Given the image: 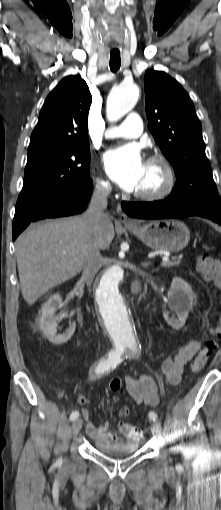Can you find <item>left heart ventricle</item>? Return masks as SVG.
I'll list each match as a JSON object with an SVG mask.
<instances>
[{
  "instance_id": "obj_1",
  "label": "left heart ventricle",
  "mask_w": 221,
  "mask_h": 510,
  "mask_svg": "<svg viewBox=\"0 0 221 510\" xmlns=\"http://www.w3.org/2000/svg\"><path fill=\"white\" fill-rule=\"evenodd\" d=\"M164 171L159 164L145 163L141 182L136 192H154L164 183Z\"/></svg>"
}]
</instances>
